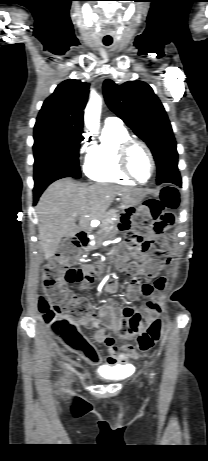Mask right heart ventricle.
Returning a JSON list of instances; mask_svg holds the SVG:
<instances>
[{
	"label": "right heart ventricle",
	"mask_w": 208,
	"mask_h": 461,
	"mask_svg": "<svg viewBox=\"0 0 208 461\" xmlns=\"http://www.w3.org/2000/svg\"><path fill=\"white\" fill-rule=\"evenodd\" d=\"M130 138L122 125H105L100 140L87 151L84 163L86 176L97 182L134 183L122 172L118 164L119 147Z\"/></svg>",
	"instance_id": "obj_1"
}]
</instances>
